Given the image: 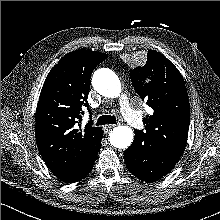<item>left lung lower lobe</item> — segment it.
Instances as JSON below:
<instances>
[{
	"mask_svg": "<svg viewBox=\"0 0 220 220\" xmlns=\"http://www.w3.org/2000/svg\"><path fill=\"white\" fill-rule=\"evenodd\" d=\"M124 158L128 170L147 182H155L167 175L179 160L153 145L143 144L136 131L134 142L125 150Z\"/></svg>",
	"mask_w": 220,
	"mask_h": 220,
	"instance_id": "left-lung-lower-lobe-1",
	"label": "left lung lower lobe"
}]
</instances>
